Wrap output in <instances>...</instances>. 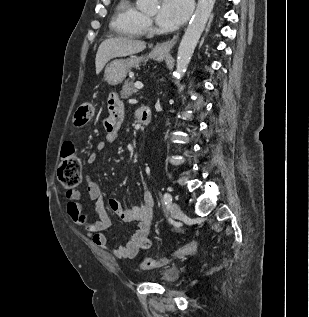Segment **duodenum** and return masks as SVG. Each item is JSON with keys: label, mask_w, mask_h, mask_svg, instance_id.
Masks as SVG:
<instances>
[{"label": "duodenum", "mask_w": 309, "mask_h": 317, "mask_svg": "<svg viewBox=\"0 0 309 317\" xmlns=\"http://www.w3.org/2000/svg\"><path fill=\"white\" fill-rule=\"evenodd\" d=\"M138 122L142 126H147L151 120V111L148 107H141L137 111Z\"/></svg>", "instance_id": "duodenum-1"}]
</instances>
